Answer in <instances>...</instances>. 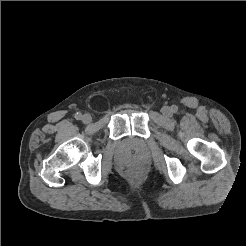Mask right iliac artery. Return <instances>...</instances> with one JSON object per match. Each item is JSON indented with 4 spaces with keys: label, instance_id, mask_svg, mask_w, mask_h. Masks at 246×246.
<instances>
[{
    "label": "right iliac artery",
    "instance_id": "right-iliac-artery-1",
    "mask_svg": "<svg viewBox=\"0 0 246 246\" xmlns=\"http://www.w3.org/2000/svg\"><path fill=\"white\" fill-rule=\"evenodd\" d=\"M75 118H76L77 120H81V119H82V114H81V113H76V114H75Z\"/></svg>",
    "mask_w": 246,
    "mask_h": 246
}]
</instances>
